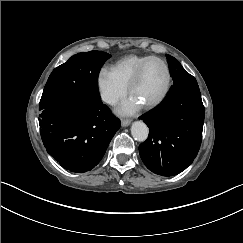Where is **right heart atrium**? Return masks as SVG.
<instances>
[{"label": "right heart atrium", "instance_id": "1", "mask_svg": "<svg viewBox=\"0 0 243 243\" xmlns=\"http://www.w3.org/2000/svg\"><path fill=\"white\" fill-rule=\"evenodd\" d=\"M95 86L99 98L110 105L117 103L127 93L126 87L118 81L112 67L107 65L98 68L95 76Z\"/></svg>", "mask_w": 243, "mask_h": 243}]
</instances>
